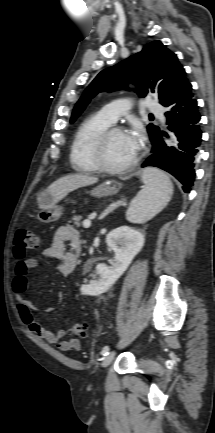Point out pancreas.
Wrapping results in <instances>:
<instances>
[{
  "label": "pancreas",
  "mask_w": 215,
  "mask_h": 433,
  "mask_svg": "<svg viewBox=\"0 0 215 433\" xmlns=\"http://www.w3.org/2000/svg\"><path fill=\"white\" fill-rule=\"evenodd\" d=\"M81 219H82V217L80 216V215H77V216H73L72 217V220H73V222H74V225L76 226V227H81V224H82V222H81Z\"/></svg>",
  "instance_id": "1"
}]
</instances>
